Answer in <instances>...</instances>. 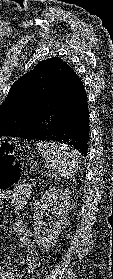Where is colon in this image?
Instances as JSON below:
<instances>
[{"mask_svg":"<svg viewBox=\"0 0 113 279\" xmlns=\"http://www.w3.org/2000/svg\"><path fill=\"white\" fill-rule=\"evenodd\" d=\"M21 188V168L16 159V147L4 144L0 148V191L14 194Z\"/></svg>","mask_w":113,"mask_h":279,"instance_id":"5ec220e1","label":"colon"}]
</instances>
